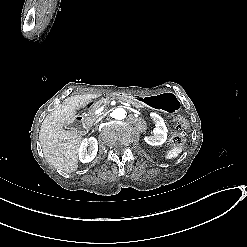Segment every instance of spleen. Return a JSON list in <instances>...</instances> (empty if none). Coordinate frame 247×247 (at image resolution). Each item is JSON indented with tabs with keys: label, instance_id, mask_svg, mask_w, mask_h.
Wrapping results in <instances>:
<instances>
[{
	"label": "spleen",
	"instance_id": "3e777b00",
	"mask_svg": "<svg viewBox=\"0 0 247 247\" xmlns=\"http://www.w3.org/2000/svg\"><path fill=\"white\" fill-rule=\"evenodd\" d=\"M183 149H184L183 144L174 146L169 151H167L165 158L166 159L176 158L182 152Z\"/></svg>",
	"mask_w": 247,
	"mask_h": 247
}]
</instances>
